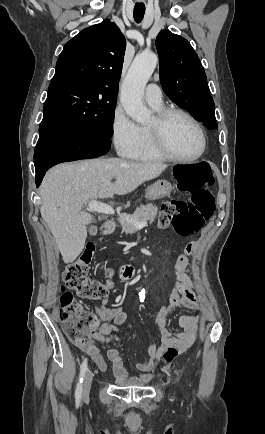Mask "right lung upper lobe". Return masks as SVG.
<instances>
[{"label":"right lung upper lobe","instance_id":"cb5924a9","mask_svg":"<svg viewBox=\"0 0 265 434\" xmlns=\"http://www.w3.org/2000/svg\"><path fill=\"white\" fill-rule=\"evenodd\" d=\"M125 47V38L115 23L104 20L88 27L65 44L52 80L89 78L118 89Z\"/></svg>","mask_w":265,"mask_h":434}]
</instances>
